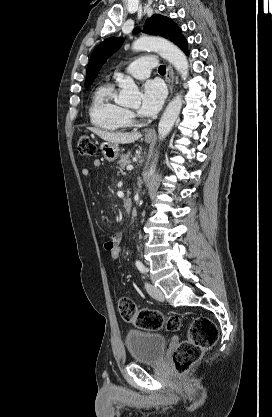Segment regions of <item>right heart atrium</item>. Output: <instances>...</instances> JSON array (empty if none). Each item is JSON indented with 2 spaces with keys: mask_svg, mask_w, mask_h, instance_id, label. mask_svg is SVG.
<instances>
[{
  "mask_svg": "<svg viewBox=\"0 0 272 417\" xmlns=\"http://www.w3.org/2000/svg\"><path fill=\"white\" fill-rule=\"evenodd\" d=\"M126 113H127V117H128L129 119L133 117V114H132L130 111H127Z\"/></svg>",
  "mask_w": 272,
  "mask_h": 417,
  "instance_id": "1",
  "label": "right heart atrium"
}]
</instances>
